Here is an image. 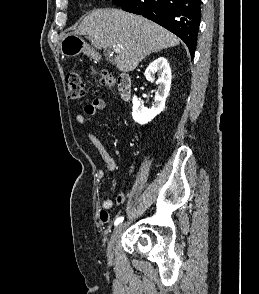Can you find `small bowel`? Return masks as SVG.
I'll list each match as a JSON object with an SVG mask.
<instances>
[{
	"mask_svg": "<svg viewBox=\"0 0 259 294\" xmlns=\"http://www.w3.org/2000/svg\"><path fill=\"white\" fill-rule=\"evenodd\" d=\"M106 107V102L103 99H95L89 104H87L84 108V114L78 113L75 116L76 122L79 124H83L86 120V116L93 117L97 115L100 111L104 110ZM87 137L91 144L94 146V148L98 151L102 162L106 166V168L110 171L114 170L116 168V164L114 159L111 157V155L108 153V151L105 149L101 139L96 136L95 134L88 133ZM105 177L104 170H99L97 172V178L99 180H103ZM116 201L118 204H123L125 201V195L120 192L117 195ZM113 206V201L109 198H105L101 203V209L99 211V220L106 224L110 221V215L109 210Z\"/></svg>",
	"mask_w": 259,
	"mask_h": 294,
	"instance_id": "1",
	"label": "small bowel"
}]
</instances>
